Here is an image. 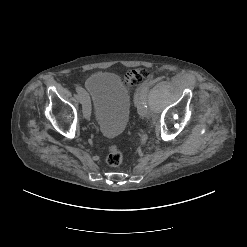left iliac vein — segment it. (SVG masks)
<instances>
[{
	"mask_svg": "<svg viewBox=\"0 0 247 247\" xmlns=\"http://www.w3.org/2000/svg\"><path fill=\"white\" fill-rule=\"evenodd\" d=\"M138 112L142 117H148L150 113L147 108H141L140 106H138Z\"/></svg>",
	"mask_w": 247,
	"mask_h": 247,
	"instance_id": "1",
	"label": "left iliac vein"
}]
</instances>
